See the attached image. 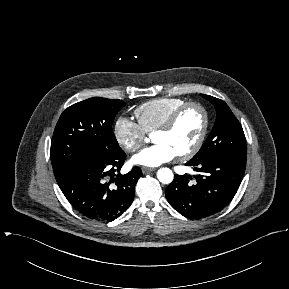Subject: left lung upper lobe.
Here are the masks:
<instances>
[{
	"label": "left lung upper lobe",
	"mask_w": 289,
	"mask_h": 289,
	"mask_svg": "<svg viewBox=\"0 0 289 289\" xmlns=\"http://www.w3.org/2000/svg\"><path fill=\"white\" fill-rule=\"evenodd\" d=\"M200 95L214 105L217 116L211 133L190 162L198 163L222 154H246V138L242 126L228 105L218 98Z\"/></svg>",
	"instance_id": "1"
}]
</instances>
